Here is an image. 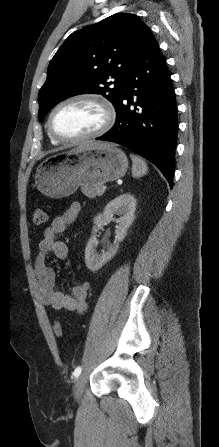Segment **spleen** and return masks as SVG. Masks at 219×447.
Returning <instances> with one entry per match:
<instances>
[{
  "instance_id": "1",
  "label": "spleen",
  "mask_w": 219,
  "mask_h": 447,
  "mask_svg": "<svg viewBox=\"0 0 219 447\" xmlns=\"http://www.w3.org/2000/svg\"><path fill=\"white\" fill-rule=\"evenodd\" d=\"M132 160V175L133 177H141L147 173L148 167L146 162L136 155H131Z\"/></svg>"
}]
</instances>
